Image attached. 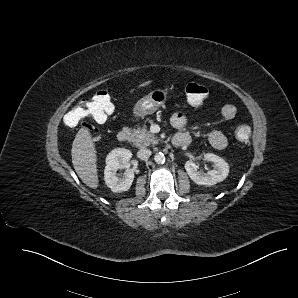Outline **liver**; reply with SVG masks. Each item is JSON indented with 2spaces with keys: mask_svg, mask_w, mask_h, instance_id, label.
<instances>
[{
  "mask_svg": "<svg viewBox=\"0 0 298 298\" xmlns=\"http://www.w3.org/2000/svg\"><path fill=\"white\" fill-rule=\"evenodd\" d=\"M147 84V83H146ZM72 163L81 180L89 187L97 186L95 154L88 131L80 129L72 144Z\"/></svg>",
  "mask_w": 298,
  "mask_h": 298,
  "instance_id": "liver-1",
  "label": "liver"
}]
</instances>
